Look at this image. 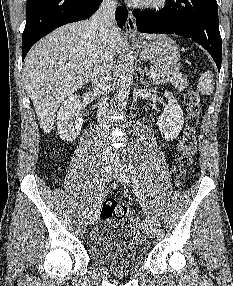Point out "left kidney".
I'll use <instances>...</instances> for the list:
<instances>
[{
	"mask_svg": "<svg viewBox=\"0 0 233 286\" xmlns=\"http://www.w3.org/2000/svg\"><path fill=\"white\" fill-rule=\"evenodd\" d=\"M183 123V111L180 105L174 97H169L168 105H166L157 121L162 137L167 141L175 140L182 130Z\"/></svg>",
	"mask_w": 233,
	"mask_h": 286,
	"instance_id": "1",
	"label": "left kidney"
}]
</instances>
